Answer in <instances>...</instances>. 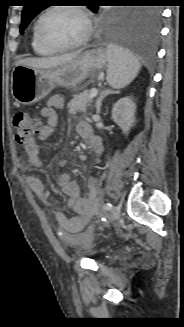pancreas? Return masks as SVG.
<instances>
[{
	"label": "pancreas",
	"instance_id": "cf45deb5",
	"mask_svg": "<svg viewBox=\"0 0 184 327\" xmlns=\"http://www.w3.org/2000/svg\"><path fill=\"white\" fill-rule=\"evenodd\" d=\"M90 92L83 91L79 94L73 95V99L68 103V112L70 114H76L78 112L85 111L91 102Z\"/></svg>",
	"mask_w": 184,
	"mask_h": 327
}]
</instances>
